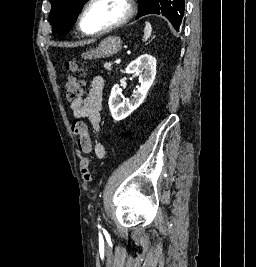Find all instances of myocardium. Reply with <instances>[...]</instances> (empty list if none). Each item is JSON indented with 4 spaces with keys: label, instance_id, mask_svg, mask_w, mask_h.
Segmentation results:
<instances>
[{
    "label": "myocardium",
    "instance_id": "f54148a6",
    "mask_svg": "<svg viewBox=\"0 0 256 267\" xmlns=\"http://www.w3.org/2000/svg\"><path fill=\"white\" fill-rule=\"evenodd\" d=\"M101 1H106V0H90L88 1L85 5H83L77 14V24H78V28L80 30V32L86 36H90V37H98V36H102L105 35L109 32H111L112 30L122 26L123 24H125L127 22V20L131 17L132 13H133V9L132 6L126 1V0H111L113 2H115L116 4H118L119 6L122 7V9L124 10V15L123 17L117 21L116 23L112 24L110 27L99 31V32H87L84 28H83V24H82V20H83V15L85 13V11L92 6L94 3L97 2H101Z\"/></svg>",
    "mask_w": 256,
    "mask_h": 267
}]
</instances>
